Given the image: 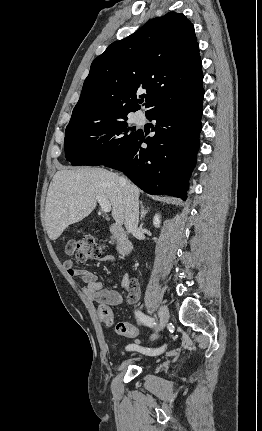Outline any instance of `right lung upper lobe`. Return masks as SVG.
<instances>
[{
    "label": "right lung upper lobe",
    "mask_w": 262,
    "mask_h": 431,
    "mask_svg": "<svg viewBox=\"0 0 262 431\" xmlns=\"http://www.w3.org/2000/svg\"><path fill=\"white\" fill-rule=\"evenodd\" d=\"M202 62L192 23L169 12L147 22L127 38L113 42L91 64L68 125L146 115L195 94L203 83Z\"/></svg>",
    "instance_id": "right-lung-upper-lobe-1"
}]
</instances>
